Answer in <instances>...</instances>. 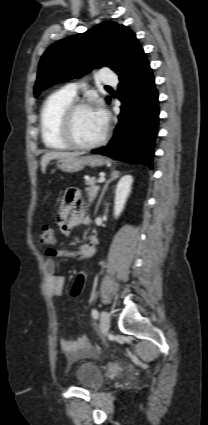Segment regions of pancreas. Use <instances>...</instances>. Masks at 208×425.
I'll return each mask as SVG.
<instances>
[{"label": "pancreas", "instance_id": "cf45deb5", "mask_svg": "<svg viewBox=\"0 0 208 425\" xmlns=\"http://www.w3.org/2000/svg\"><path fill=\"white\" fill-rule=\"evenodd\" d=\"M86 184L89 186L86 188V191L88 192V200L89 202H92L96 198L99 191L97 179L95 177H92L86 181Z\"/></svg>", "mask_w": 208, "mask_h": 425}]
</instances>
